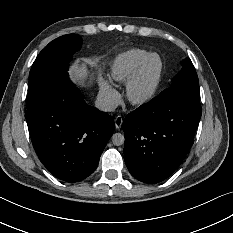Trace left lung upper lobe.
<instances>
[{
    "label": "left lung upper lobe",
    "mask_w": 233,
    "mask_h": 233,
    "mask_svg": "<svg viewBox=\"0 0 233 233\" xmlns=\"http://www.w3.org/2000/svg\"><path fill=\"white\" fill-rule=\"evenodd\" d=\"M159 99L166 101L189 100L199 102V82L189 58L182 62V70L173 78L172 85L162 91Z\"/></svg>",
    "instance_id": "1"
}]
</instances>
